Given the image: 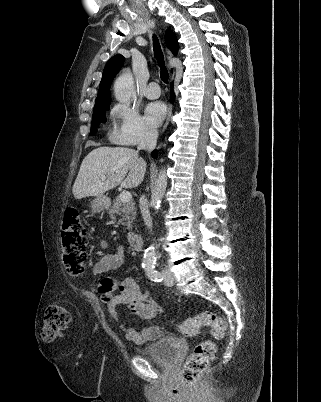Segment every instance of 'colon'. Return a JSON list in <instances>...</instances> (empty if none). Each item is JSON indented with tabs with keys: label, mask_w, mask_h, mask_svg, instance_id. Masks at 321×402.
<instances>
[{
	"label": "colon",
	"mask_w": 321,
	"mask_h": 402,
	"mask_svg": "<svg viewBox=\"0 0 321 402\" xmlns=\"http://www.w3.org/2000/svg\"><path fill=\"white\" fill-rule=\"evenodd\" d=\"M63 261L67 272L78 276L83 271L86 262L87 230L80 221L76 208H67L62 224ZM70 322V313L62 303L50 305L45 312L42 337L47 342L60 338ZM210 328L217 339L226 334L224 320L211 311H203L192 318L184 320L178 329L186 335H194L201 328ZM218 348L214 341L203 340L198 343L186 359L181 371L183 384L193 386L206 368L216 360Z\"/></svg>",
	"instance_id": "5ec220e1"
}]
</instances>
